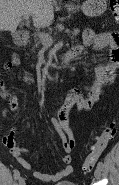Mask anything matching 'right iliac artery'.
<instances>
[{
	"label": "right iliac artery",
	"mask_w": 119,
	"mask_h": 185,
	"mask_svg": "<svg viewBox=\"0 0 119 185\" xmlns=\"http://www.w3.org/2000/svg\"><path fill=\"white\" fill-rule=\"evenodd\" d=\"M20 177V172L18 170H15L14 172V178L18 179Z\"/></svg>",
	"instance_id": "right-iliac-artery-1"
}]
</instances>
